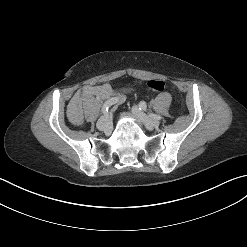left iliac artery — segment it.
Returning a JSON list of instances; mask_svg holds the SVG:
<instances>
[{
    "label": "left iliac artery",
    "instance_id": "1",
    "mask_svg": "<svg viewBox=\"0 0 247 247\" xmlns=\"http://www.w3.org/2000/svg\"><path fill=\"white\" fill-rule=\"evenodd\" d=\"M139 108L142 109V110L147 111V105H146V103H145L144 101H141V102L139 103ZM148 113H149V112H148ZM149 115L152 116V117L155 118V119H158V120H160V119L162 118L160 115H155V114H153V113H149Z\"/></svg>",
    "mask_w": 247,
    "mask_h": 247
}]
</instances>
